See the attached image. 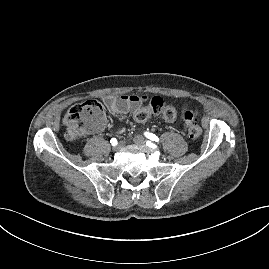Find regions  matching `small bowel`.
Listing matches in <instances>:
<instances>
[{
	"label": "small bowel",
	"instance_id": "c3829d8e",
	"mask_svg": "<svg viewBox=\"0 0 269 269\" xmlns=\"http://www.w3.org/2000/svg\"><path fill=\"white\" fill-rule=\"evenodd\" d=\"M144 101V97L137 95L106 96L102 99L104 106L113 114L136 112ZM105 122L100 127L102 129Z\"/></svg>",
	"mask_w": 269,
	"mask_h": 269
}]
</instances>
